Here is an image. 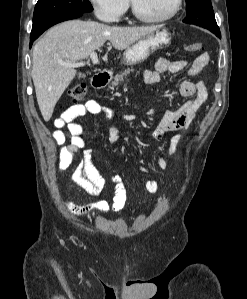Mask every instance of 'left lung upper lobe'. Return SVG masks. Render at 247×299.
I'll return each instance as SVG.
<instances>
[{
    "mask_svg": "<svg viewBox=\"0 0 247 299\" xmlns=\"http://www.w3.org/2000/svg\"><path fill=\"white\" fill-rule=\"evenodd\" d=\"M187 15L184 23L203 26L205 28L220 31L216 23L214 11L210 0H185Z\"/></svg>",
    "mask_w": 247,
    "mask_h": 299,
    "instance_id": "left-lung-upper-lobe-1",
    "label": "left lung upper lobe"
}]
</instances>
